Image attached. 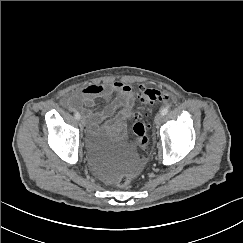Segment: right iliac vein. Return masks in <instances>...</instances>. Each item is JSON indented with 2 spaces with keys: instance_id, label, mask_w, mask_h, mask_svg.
<instances>
[{
  "instance_id": "obj_1",
  "label": "right iliac vein",
  "mask_w": 243,
  "mask_h": 243,
  "mask_svg": "<svg viewBox=\"0 0 243 243\" xmlns=\"http://www.w3.org/2000/svg\"><path fill=\"white\" fill-rule=\"evenodd\" d=\"M85 124H86L85 119L84 118H81L80 119V127L83 128L85 126Z\"/></svg>"
}]
</instances>
